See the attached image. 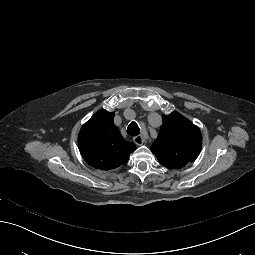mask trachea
<instances>
[{"mask_svg": "<svg viewBox=\"0 0 255 255\" xmlns=\"http://www.w3.org/2000/svg\"><path fill=\"white\" fill-rule=\"evenodd\" d=\"M128 135L134 137L140 133L139 126L136 122H131L127 128Z\"/></svg>", "mask_w": 255, "mask_h": 255, "instance_id": "obj_1", "label": "trachea"}]
</instances>
